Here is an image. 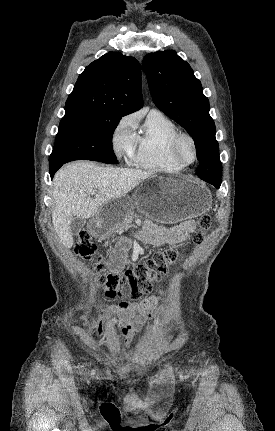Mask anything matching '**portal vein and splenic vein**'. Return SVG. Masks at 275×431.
I'll return each mask as SVG.
<instances>
[{"label": "portal vein and splenic vein", "mask_w": 275, "mask_h": 431, "mask_svg": "<svg viewBox=\"0 0 275 431\" xmlns=\"http://www.w3.org/2000/svg\"><path fill=\"white\" fill-rule=\"evenodd\" d=\"M97 194V191L96 190H93L92 192H91V195H96Z\"/></svg>", "instance_id": "1"}]
</instances>
